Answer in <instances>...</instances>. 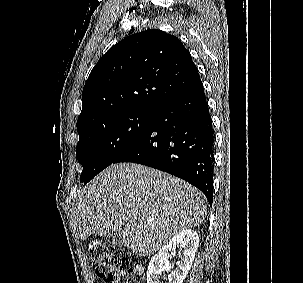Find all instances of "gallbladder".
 Listing matches in <instances>:
<instances>
[{
    "label": "gallbladder",
    "instance_id": "gallbladder-1",
    "mask_svg": "<svg viewBox=\"0 0 303 283\" xmlns=\"http://www.w3.org/2000/svg\"><path fill=\"white\" fill-rule=\"evenodd\" d=\"M122 232H123V229L121 228L114 235L106 236V240L108 242L112 243L114 246H121L122 245Z\"/></svg>",
    "mask_w": 303,
    "mask_h": 283
}]
</instances>
